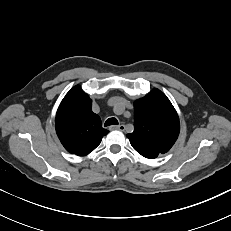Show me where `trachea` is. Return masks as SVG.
Segmentation results:
<instances>
[{
	"label": "trachea",
	"instance_id": "3493384b",
	"mask_svg": "<svg viewBox=\"0 0 231 231\" xmlns=\"http://www.w3.org/2000/svg\"><path fill=\"white\" fill-rule=\"evenodd\" d=\"M118 125V121L116 118H109L106 120L104 126Z\"/></svg>",
	"mask_w": 231,
	"mask_h": 231
}]
</instances>
